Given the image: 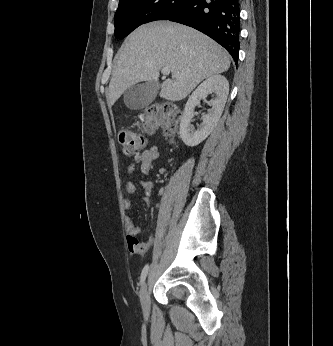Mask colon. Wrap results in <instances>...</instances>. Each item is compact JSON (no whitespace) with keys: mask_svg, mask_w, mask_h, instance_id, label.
<instances>
[{"mask_svg":"<svg viewBox=\"0 0 333 346\" xmlns=\"http://www.w3.org/2000/svg\"><path fill=\"white\" fill-rule=\"evenodd\" d=\"M182 116L181 110L173 103L161 102L148 106L139 116L145 133L151 134L162 130L166 136H173L177 131L178 122ZM119 142L126 155L130 156L142 150L145 146L143 134L131 129H122Z\"/></svg>","mask_w":333,"mask_h":346,"instance_id":"obj_1","label":"colon"}]
</instances>
